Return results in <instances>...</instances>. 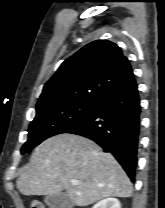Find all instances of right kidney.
Listing matches in <instances>:
<instances>
[{
    "mask_svg": "<svg viewBox=\"0 0 165 208\" xmlns=\"http://www.w3.org/2000/svg\"><path fill=\"white\" fill-rule=\"evenodd\" d=\"M92 208H121V205L116 198H106L99 201Z\"/></svg>",
    "mask_w": 165,
    "mask_h": 208,
    "instance_id": "right-kidney-1",
    "label": "right kidney"
}]
</instances>
